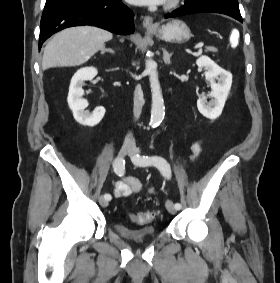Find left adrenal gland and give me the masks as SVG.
<instances>
[{
	"instance_id": "1",
	"label": "left adrenal gland",
	"mask_w": 280,
	"mask_h": 283,
	"mask_svg": "<svg viewBox=\"0 0 280 283\" xmlns=\"http://www.w3.org/2000/svg\"><path fill=\"white\" fill-rule=\"evenodd\" d=\"M163 60L165 64H170V58L172 57L173 53H168L166 49H163Z\"/></svg>"
}]
</instances>
